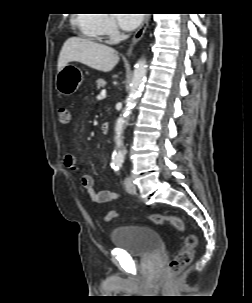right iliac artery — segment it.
<instances>
[{"label": "right iliac artery", "mask_w": 252, "mask_h": 303, "mask_svg": "<svg viewBox=\"0 0 252 303\" xmlns=\"http://www.w3.org/2000/svg\"><path fill=\"white\" fill-rule=\"evenodd\" d=\"M112 168H113V169H115V170H117V169H118V167H117V166H112Z\"/></svg>", "instance_id": "right-iliac-artery-1"}]
</instances>
